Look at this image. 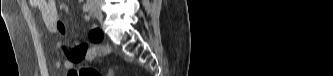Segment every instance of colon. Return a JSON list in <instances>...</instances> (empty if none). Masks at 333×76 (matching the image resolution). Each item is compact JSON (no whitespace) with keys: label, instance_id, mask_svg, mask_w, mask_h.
I'll return each mask as SVG.
<instances>
[{"label":"colon","instance_id":"colon-1","mask_svg":"<svg viewBox=\"0 0 333 76\" xmlns=\"http://www.w3.org/2000/svg\"><path fill=\"white\" fill-rule=\"evenodd\" d=\"M80 75L81 76H101L100 72H98L97 70L93 69V68H81L80 69ZM109 76H113L114 75V71L110 70L108 72Z\"/></svg>","mask_w":333,"mask_h":76}]
</instances>
